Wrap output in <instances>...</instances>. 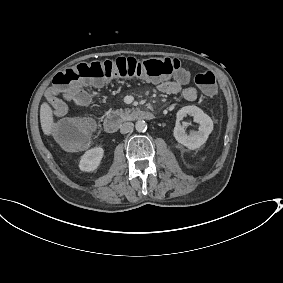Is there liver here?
<instances>
[{"instance_id":"1","label":"liver","mask_w":283,"mask_h":283,"mask_svg":"<svg viewBox=\"0 0 283 283\" xmlns=\"http://www.w3.org/2000/svg\"><path fill=\"white\" fill-rule=\"evenodd\" d=\"M40 122L45 135H50L53 129V111L47 103H43L40 108Z\"/></svg>"}]
</instances>
